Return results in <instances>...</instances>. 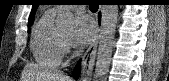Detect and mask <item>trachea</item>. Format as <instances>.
Masks as SVG:
<instances>
[{
	"label": "trachea",
	"instance_id": "1",
	"mask_svg": "<svg viewBox=\"0 0 169 81\" xmlns=\"http://www.w3.org/2000/svg\"><path fill=\"white\" fill-rule=\"evenodd\" d=\"M89 7L90 9H95L97 10L98 9V4L94 3V2H91V4H89Z\"/></svg>",
	"mask_w": 169,
	"mask_h": 81
}]
</instances>
